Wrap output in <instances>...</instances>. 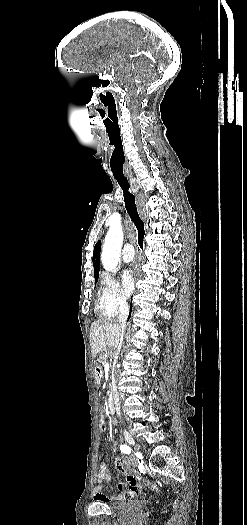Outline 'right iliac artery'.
I'll list each match as a JSON object with an SVG mask.
<instances>
[{"mask_svg":"<svg viewBox=\"0 0 247 525\" xmlns=\"http://www.w3.org/2000/svg\"><path fill=\"white\" fill-rule=\"evenodd\" d=\"M120 450L123 453H125V454H130L131 453V449L127 445H120Z\"/></svg>","mask_w":247,"mask_h":525,"instance_id":"right-iliac-artery-1","label":"right iliac artery"}]
</instances>
